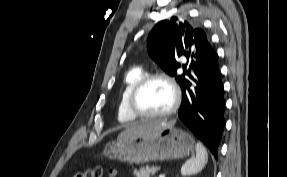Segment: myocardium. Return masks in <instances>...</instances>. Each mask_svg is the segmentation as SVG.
<instances>
[{"label": "myocardium", "instance_id": "myocardium-1", "mask_svg": "<svg viewBox=\"0 0 287 177\" xmlns=\"http://www.w3.org/2000/svg\"><path fill=\"white\" fill-rule=\"evenodd\" d=\"M153 80H160L165 82L169 88L172 91V95H173V103L171 105V107L163 112V113H158V114H150V113H145L142 112L138 106H137V97L140 93V91L151 81ZM181 103V93H180V89L178 87V85L176 84V82L167 74L164 73H150V74H146L144 75L133 87L130 95H129V99H128V106L130 111L137 117L142 118V119H162L165 117H168L172 114H174Z\"/></svg>", "mask_w": 287, "mask_h": 177}]
</instances>
